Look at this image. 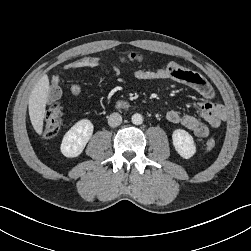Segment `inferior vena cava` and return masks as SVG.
<instances>
[{
  "label": "inferior vena cava",
  "mask_w": 251,
  "mask_h": 251,
  "mask_svg": "<svg viewBox=\"0 0 251 251\" xmlns=\"http://www.w3.org/2000/svg\"><path fill=\"white\" fill-rule=\"evenodd\" d=\"M122 122V116L119 113H112L108 118V124L110 127H117Z\"/></svg>",
  "instance_id": "inferior-vena-cava-1"
}]
</instances>
